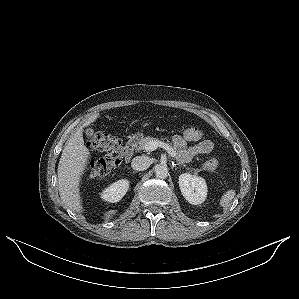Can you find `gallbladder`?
<instances>
[{"mask_svg":"<svg viewBox=\"0 0 299 299\" xmlns=\"http://www.w3.org/2000/svg\"><path fill=\"white\" fill-rule=\"evenodd\" d=\"M85 135H86V137H87L88 139H92L93 136H94V130L91 129V128H87V129L85 130Z\"/></svg>","mask_w":299,"mask_h":299,"instance_id":"1","label":"gallbladder"}]
</instances>
